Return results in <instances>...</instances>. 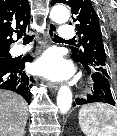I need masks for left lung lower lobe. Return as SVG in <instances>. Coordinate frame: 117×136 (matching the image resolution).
I'll use <instances>...</instances> for the list:
<instances>
[{
    "label": "left lung lower lobe",
    "mask_w": 117,
    "mask_h": 136,
    "mask_svg": "<svg viewBox=\"0 0 117 136\" xmlns=\"http://www.w3.org/2000/svg\"><path fill=\"white\" fill-rule=\"evenodd\" d=\"M84 68L87 73L91 75L93 80L92 94L87 95V98L85 99L77 98L73 106L94 102H104L114 105L115 103L111 94L109 78L100 73L94 72L91 68Z\"/></svg>",
    "instance_id": "1"
}]
</instances>
